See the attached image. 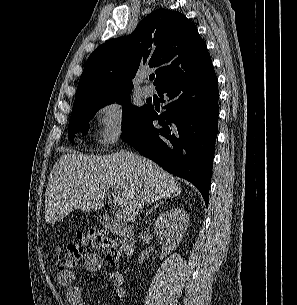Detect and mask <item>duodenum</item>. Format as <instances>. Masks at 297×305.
Here are the masks:
<instances>
[{
    "label": "duodenum",
    "instance_id": "obj_1",
    "mask_svg": "<svg viewBox=\"0 0 297 305\" xmlns=\"http://www.w3.org/2000/svg\"><path fill=\"white\" fill-rule=\"evenodd\" d=\"M101 221L111 233L121 238L123 255L126 258L132 257L135 251L133 228L128 224L116 221L111 215H103Z\"/></svg>",
    "mask_w": 297,
    "mask_h": 305
}]
</instances>
